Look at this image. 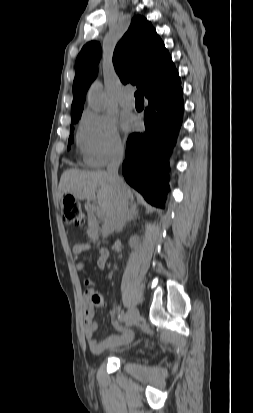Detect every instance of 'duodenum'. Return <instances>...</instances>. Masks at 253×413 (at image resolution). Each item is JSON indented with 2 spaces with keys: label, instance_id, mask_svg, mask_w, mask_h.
I'll use <instances>...</instances> for the list:
<instances>
[{
  "label": "duodenum",
  "instance_id": "410a0bca",
  "mask_svg": "<svg viewBox=\"0 0 253 413\" xmlns=\"http://www.w3.org/2000/svg\"><path fill=\"white\" fill-rule=\"evenodd\" d=\"M86 208H87V211H88V213L91 217V226H90V230H89V235L93 239H95L97 237V225H96V222L94 220V210L95 209H94V206L90 203L86 204ZM101 249L104 250V251H107V249L104 248V247H101Z\"/></svg>",
  "mask_w": 253,
  "mask_h": 413
}]
</instances>
